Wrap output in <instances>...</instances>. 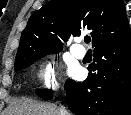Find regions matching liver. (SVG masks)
<instances>
[{
  "label": "liver",
  "instance_id": "liver-1",
  "mask_svg": "<svg viewBox=\"0 0 131 115\" xmlns=\"http://www.w3.org/2000/svg\"><path fill=\"white\" fill-rule=\"evenodd\" d=\"M3 113L4 115H61L56 105L38 103L31 99L14 100Z\"/></svg>",
  "mask_w": 131,
  "mask_h": 115
}]
</instances>
